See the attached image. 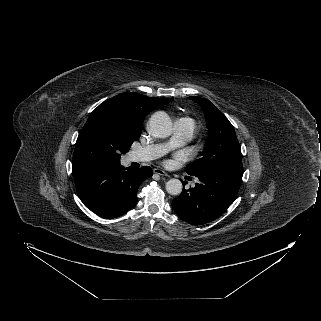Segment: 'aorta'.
<instances>
[{
    "instance_id": "aorta-1",
    "label": "aorta",
    "mask_w": 321,
    "mask_h": 321,
    "mask_svg": "<svg viewBox=\"0 0 321 321\" xmlns=\"http://www.w3.org/2000/svg\"><path fill=\"white\" fill-rule=\"evenodd\" d=\"M151 133L158 138H165L172 133V121L169 115L163 111L155 112L150 120ZM182 183L179 179H170L166 183V191L170 195H179L182 192Z\"/></svg>"
}]
</instances>
